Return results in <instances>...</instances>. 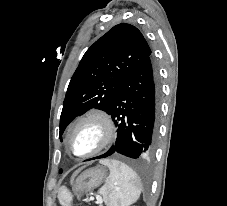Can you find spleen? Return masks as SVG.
<instances>
[{
	"instance_id": "obj_1",
	"label": "spleen",
	"mask_w": 227,
	"mask_h": 206,
	"mask_svg": "<svg viewBox=\"0 0 227 206\" xmlns=\"http://www.w3.org/2000/svg\"><path fill=\"white\" fill-rule=\"evenodd\" d=\"M102 164L110 170L106 184L100 193L104 195L108 206H129L135 203L141 194V180L136 172L128 165L117 160H103ZM61 198L65 201L71 199L70 194L62 189Z\"/></svg>"
}]
</instances>
